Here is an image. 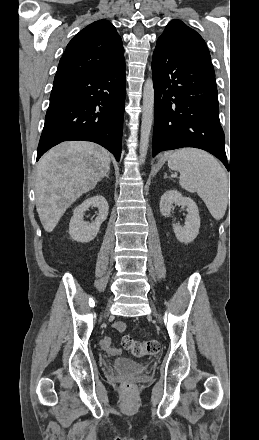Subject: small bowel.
<instances>
[{"mask_svg":"<svg viewBox=\"0 0 259 440\" xmlns=\"http://www.w3.org/2000/svg\"><path fill=\"white\" fill-rule=\"evenodd\" d=\"M114 328L120 332H123L126 330V324L122 321H117L114 323ZM100 344L101 347L110 354H117L120 352V349L112 344V340L109 337L102 339Z\"/></svg>","mask_w":259,"mask_h":440,"instance_id":"obj_1","label":"small bowel"}]
</instances>
